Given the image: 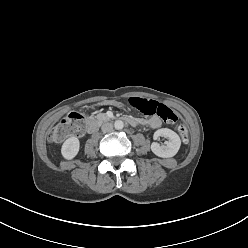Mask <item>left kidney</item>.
<instances>
[{"label":"left kidney","instance_id":"1","mask_svg":"<svg viewBox=\"0 0 248 248\" xmlns=\"http://www.w3.org/2000/svg\"><path fill=\"white\" fill-rule=\"evenodd\" d=\"M159 137H165L168 141H166L163 146H160L157 142H153L151 144L152 152L162 158L175 156L181 146V140L178 134L171 129L162 128L158 129L153 136L154 140H157Z\"/></svg>","mask_w":248,"mask_h":248}]
</instances>
